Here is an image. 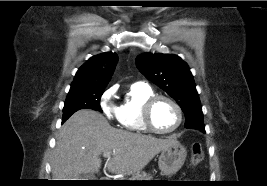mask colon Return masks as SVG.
Returning <instances> with one entry per match:
<instances>
[{
    "mask_svg": "<svg viewBox=\"0 0 267 186\" xmlns=\"http://www.w3.org/2000/svg\"><path fill=\"white\" fill-rule=\"evenodd\" d=\"M204 157V152L202 145L198 142H195L191 145V156L190 163L192 166H197Z\"/></svg>",
    "mask_w": 267,
    "mask_h": 186,
    "instance_id": "colon-1",
    "label": "colon"
}]
</instances>
